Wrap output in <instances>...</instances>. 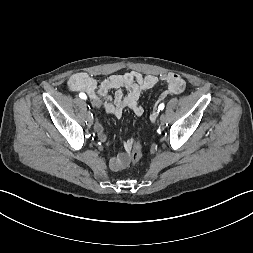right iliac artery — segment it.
I'll return each instance as SVG.
<instances>
[{"mask_svg": "<svg viewBox=\"0 0 253 253\" xmlns=\"http://www.w3.org/2000/svg\"><path fill=\"white\" fill-rule=\"evenodd\" d=\"M79 97L82 98V99H87V96H86L85 93H80ZM91 116L93 117V114H91Z\"/></svg>", "mask_w": 253, "mask_h": 253, "instance_id": "obj_1", "label": "right iliac artery"}]
</instances>
